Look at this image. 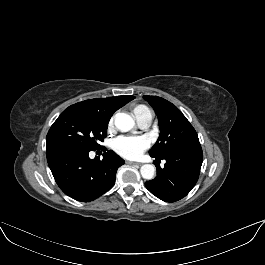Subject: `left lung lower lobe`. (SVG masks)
<instances>
[{
	"label": "left lung lower lobe",
	"mask_w": 265,
	"mask_h": 265,
	"mask_svg": "<svg viewBox=\"0 0 265 265\" xmlns=\"http://www.w3.org/2000/svg\"><path fill=\"white\" fill-rule=\"evenodd\" d=\"M151 157L157 162L166 161L164 168L156 164L157 176L145 183L146 188L159 199L178 201L195 186L203 161L201 145L173 150L162 157Z\"/></svg>",
	"instance_id": "1"
}]
</instances>
